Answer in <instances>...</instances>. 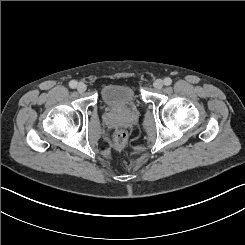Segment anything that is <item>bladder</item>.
I'll return each mask as SVG.
<instances>
[{
  "label": "bladder",
  "instance_id": "31cf9c89",
  "mask_svg": "<svg viewBox=\"0 0 245 245\" xmlns=\"http://www.w3.org/2000/svg\"><path fill=\"white\" fill-rule=\"evenodd\" d=\"M102 98L105 106L111 109L120 110L125 106L136 102L138 95L133 86L112 84L103 86Z\"/></svg>",
  "mask_w": 245,
  "mask_h": 245
}]
</instances>
